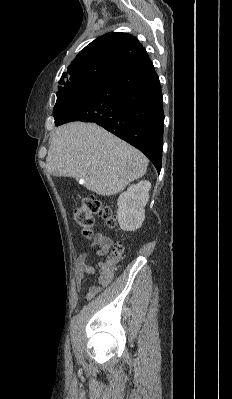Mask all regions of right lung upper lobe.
Instances as JSON below:
<instances>
[{"label":"right lung upper lobe","mask_w":232,"mask_h":399,"mask_svg":"<svg viewBox=\"0 0 232 399\" xmlns=\"http://www.w3.org/2000/svg\"><path fill=\"white\" fill-rule=\"evenodd\" d=\"M148 58L146 50L134 36L107 33L87 45L71 62L59 81L58 92L72 80L86 77L107 79Z\"/></svg>","instance_id":"right-lung-upper-lobe-1"}]
</instances>
